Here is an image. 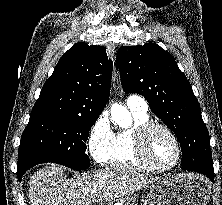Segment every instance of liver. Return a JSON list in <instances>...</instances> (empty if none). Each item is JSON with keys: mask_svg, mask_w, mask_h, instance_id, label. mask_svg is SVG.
I'll return each mask as SVG.
<instances>
[{"mask_svg": "<svg viewBox=\"0 0 222 205\" xmlns=\"http://www.w3.org/2000/svg\"><path fill=\"white\" fill-rule=\"evenodd\" d=\"M156 181L125 166H112L91 173L65 176V167L50 164L30 178V205H91L134 194Z\"/></svg>", "mask_w": 222, "mask_h": 205, "instance_id": "1", "label": "liver"}]
</instances>
